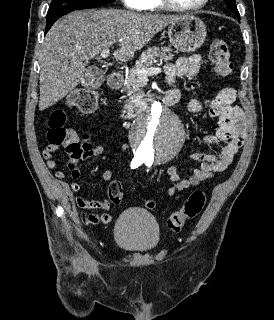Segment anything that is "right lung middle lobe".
<instances>
[{
    "instance_id": "right-lung-middle-lobe-1",
    "label": "right lung middle lobe",
    "mask_w": 274,
    "mask_h": 320,
    "mask_svg": "<svg viewBox=\"0 0 274 320\" xmlns=\"http://www.w3.org/2000/svg\"><path fill=\"white\" fill-rule=\"evenodd\" d=\"M116 0H52L47 18L65 14L79 9L96 8Z\"/></svg>"
}]
</instances>
